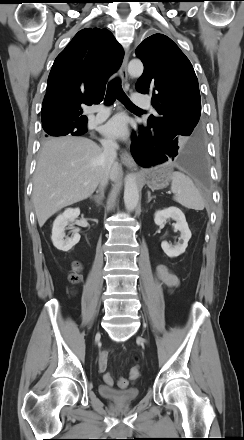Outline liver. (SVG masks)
<instances>
[{
	"label": "liver",
	"instance_id": "1",
	"mask_svg": "<svg viewBox=\"0 0 244 440\" xmlns=\"http://www.w3.org/2000/svg\"><path fill=\"white\" fill-rule=\"evenodd\" d=\"M103 149L85 137H60L42 147L33 177L32 201L38 224L62 208L85 200L103 176ZM121 166L114 163L110 176L117 180Z\"/></svg>",
	"mask_w": 244,
	"mask_h": 440
}]
</instances>
